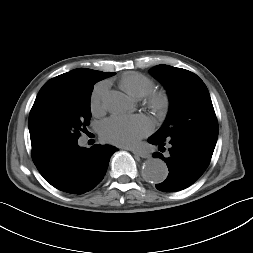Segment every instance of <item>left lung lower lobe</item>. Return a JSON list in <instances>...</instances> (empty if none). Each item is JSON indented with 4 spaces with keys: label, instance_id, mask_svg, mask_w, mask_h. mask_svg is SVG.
Segmentation results:
<instances>
[{
    "label": "left lung lower lobe",
    "instance_id": "0a47b994",
    "mask_svg": "<svg viewBox=\"0 0 253 253\" xmlns=\"http://www.w3.org/2000/svg\"><path fill=\"white\" fill-rule=\"evenodd\" d=\"M148 141L159 145L161 152L165 149V143H168L169 157H164L160 152L153 154L164 160L169 169L167 179L156 184V188L164 192H175L189 187L203 174L210 163L217 138L191 132L168 139L151 136Z\"/></svg>",
    "mask_w": 253,
    "mask_h": 253
}]
</instances>
